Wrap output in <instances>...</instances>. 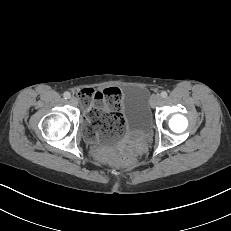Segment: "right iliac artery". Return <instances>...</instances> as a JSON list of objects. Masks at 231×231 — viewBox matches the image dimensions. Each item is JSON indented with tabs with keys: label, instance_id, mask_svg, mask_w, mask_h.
I'll return each instance as SVG.
<instances>
[{
	"label": "right iliac artery",
	"instance_id": "82829eb1",
	"mask_svg": "<svg viewBox=\"0 0 231 231\" xmlns=\"http://www.w3.org/2000/svg\"><path fill=\"white\" fill-rule=\"evenodd\" d=\"M63 97H64L65 99H69V98L71 97V94H70L69 92H65V93L63 94Z\"/></svg>",
	"mask_w": 231,
	"mask_h": 231
}]
</instances>
